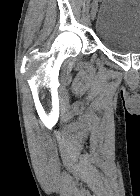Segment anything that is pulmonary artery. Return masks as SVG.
Returning a JSON list of instances; mask_svg holds the SVG:
<instances>
[{"mask_svg":"<svg viewBox=\"0 0 140 196\" xmlns=\"http://www.w3.org/2000/svg\"><path fill=\"white\" fill-rule=\"evenodd\" d=\"M58 192H79V191H58Z\"/></svg>","mask_w":140,"mask_h":196,"instance_id":"e3ab8cb5","label":"pulmonary artery"}]
</instances>
